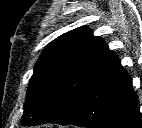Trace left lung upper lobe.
Here are the masks:
<instances>
[{
    "mask_svg": "<svg viewBox=\"0 0 142 128\" xmlns=\"http://www.w3.org/2000/svg\"><path fill=\"white\" fill-rule=\"evenodd\" d=\"M116 58L105 42L85 27L53 40L30 79L22 125L54 123L65 118L83 89Z\"/></svg>",
    "mask_w": 142,
    "mask_h": 128,
    "instance_id": "5c2ea615",
    "label": "left lung upper lobe"
}]
</instances>
